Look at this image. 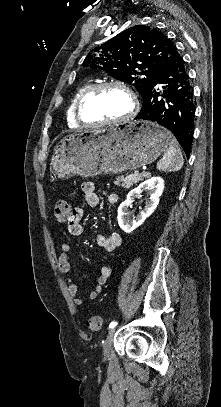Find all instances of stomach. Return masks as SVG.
I'll return each instance as SVG.
<instances>
[{
  "instance_id": "obj_1",
  "label": "stomach",
  "mask_w": 221,
  "mask_h": 407,
  "mask_svg": "<svg viewBox=\"0 0 221 407\" xmlns=\"http://www.w3.org/2000/svg\"><path fill=\"white\" fill-rule=\"evenodd\" d=\"M170 140V132L145 120L79 131L57 143L51 166L61 179L117 174L151 164L167 149Z\"/></svg>"
}]
</instances>
